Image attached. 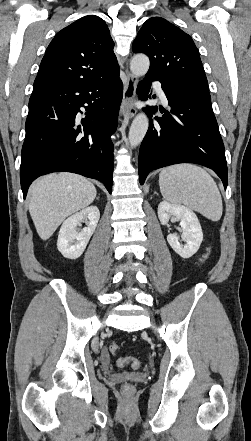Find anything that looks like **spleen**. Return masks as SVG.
<instances>
[{
  "mask_svg": "<svg viewBox=\"0 0 251 441\" xmlns=\"http://www.w3.org/2000/svg\"><path fill=\"white\" fill-rule=\"evenodd\" d=\"M159 187L171 204H184L211 221H219L223 205L219 189L210 174L197 165L177 164L160 171Z\"/></svg>",
  "mask_w": 251,
  "mask_h": 441,
  "instance_id": "3e777b00",
  "label": "spleen"
}]
</instances>
